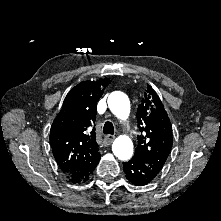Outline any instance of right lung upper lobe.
I'll use <instances>...</instances> for the list:
<instances>
[{"label": "right lung upper lobe", "mask_w": 221, "mask_h": 221, "mask_svg": "<svg viewBox=\"0 0 221 221\" xmlns=\"http://www.w3.org/2000/svg\"><path fill=\"white\" fill-rule=\"evenodd\" d=\"M108 78L83 81L67 94L50 130V144L61 171L71 175L98 152L95 134L97 102Z\"/></svg>", "instance_id": "cb5924a9"}]
</instances>
